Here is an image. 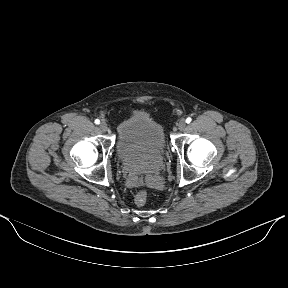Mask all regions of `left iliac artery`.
<instances>
[{"mask_svg":"<svg viewBox=\"0 0 288 288\" xmlns=\"http://www.w3.org/2000/svg\"><path fill=\"white\" fill-rule=\"evenodd\" d=\"M191 121H192V119H191L190 117H188V118L186 119V123H187V124H189Z\"/></svg>","mask_w":288,"mask_h":288,"instance_id":"44dca946","label":"left iliac artery"}]
</instances>
